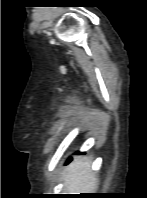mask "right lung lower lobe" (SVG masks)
Wrapping results in <instances>:
<instances>
[{
	"label": "right lung lower lobe",
	"mask_w": 147,
	"mask_h": 198,
	"mask_svg": "<svg viewBox=\"0 0 147 198\" xmlns=\"http://www.w3.org/2000/svg\"><path fill=\"white\" fill-rule=\"evenodd\" d=\"M75 154L82 155V154H84V153L76 152ZM70 159H71V158H69V160H70Z\"/></svg>",
	"instance_id": "98d812e1"
}]
</instances>
